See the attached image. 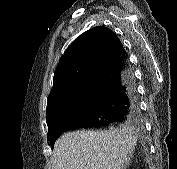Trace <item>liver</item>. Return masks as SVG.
<instances>
[{
	"instance_id": "1",
	"label": "liver",
	"mask_w": 177,
	"mask_h": 169,
	"mask_svg": "<svg viewBox=\"0 0 177 169\" xmlns=\"http://www.w3.org/2000/svg\"><path fill=\"white\" fill-rule=\"evenodd\" d=\"M136 142L130 127L68 132L54 145L52 169H126Z\"/></svg>"
}]
</instances>
